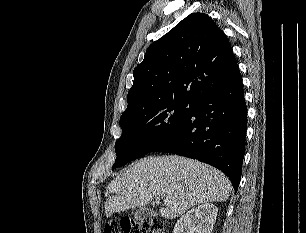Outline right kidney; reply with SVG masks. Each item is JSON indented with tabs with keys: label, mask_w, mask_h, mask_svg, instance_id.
<instances>
[{
	"label": "right kidney",
	"mask_w": 306,
	"mask_h": 233,
	"mask_svg": "<svg viewBox=\"0 0 306 233\" xmlns=\"http://www.w3.org/2000/svg\"><path fill=\"white\" fill-rule=\"evenodd\" d=\"M218 209L214 204L192 208L176 222L173 233H212Z\"/></svg>",
	"instance_id": "1"
}]
</instances>
